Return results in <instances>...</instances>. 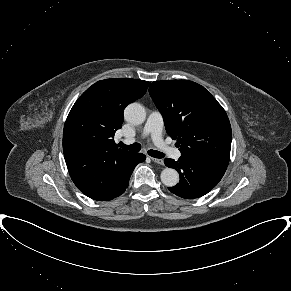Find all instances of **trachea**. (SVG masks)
Instances as JSON below:
<instances>
[{"label":"trachea","instance_id":"obj_1","mask_svg":"<svg viewBox=\"0 0 291 291\" xmlns=\"http://www.w3.org/2000/svg\"><path fill=\"white\" fill-rule=\"evenodd\" d=\"M118 145L121 148L130 150V151H133V152H139L141 150V145L138 144V143H134L132 145L127 146L124 143L120 142ZM148 154L150 156L154 157V158H163L164 157L163 153H161L159 151H156V150H148Z\"/></svg>","mask_w":291,"mask_h":291}]
</instances>
